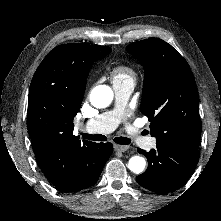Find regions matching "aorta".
<instances>
[{
	"instance_id": "762f6f07",
	"label": "aorta",
	"mask_w": 221,
	"mask_h": 221,
	"mask_svg": "<svg viewBox=\"0 0 221 221\" xmlns=\"http://www.w3.org/2000/svg\"><path fill=\"white\" fill-rule=\"evenodd\" d=\"M113 100V91L109 86L99 85L95 87L90 94L91 104L96 108H105ZM146 161L142 156H133L129 159L128 168L136 174L144 171Z\"/></svg>"
}]
</instances>
